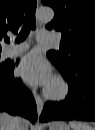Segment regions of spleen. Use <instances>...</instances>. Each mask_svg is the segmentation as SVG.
I'll use <instances>...</instances> for the list:
<instances>
[{
  "instance_id": "spleen-1",
  "label": "spleen",
  "mask_w": 95,
  "mask_h": 130,
  "mask_svg": "<svg viewBox=\"0 0 95 130\" xmlns=\"http://www.w3.org/2000/svg\"><path fill=\"white\" fill-rule=\"evenodd\" d=\"M69 126L72 130H95V128L90 126L88 123L77 120L70 121Z\"/></svg>"
}]
</instances>
